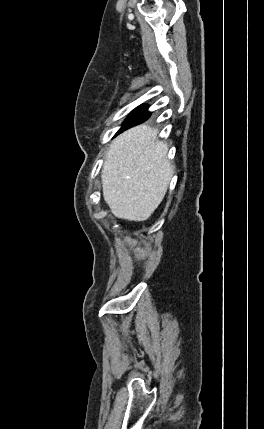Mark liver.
Instances as JSON below:
<instances>
[{"instance_id": "obj_1", "label": "liver", "mask_w": 264, "mask_h": 429, "mask_svg": "<svg viewBox=\"0 0 264 429\" xmlns=\"http://www.w3.org/2000/svg\"><path fill=\"white\" fill-rule=\"evenodd\" d=\"M148 125L131 128L110 145L102 168L105 202L115 217L147 220L162 202L174 174L168 146Z\"/></svg>"}]
</instances>
